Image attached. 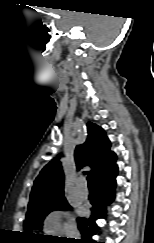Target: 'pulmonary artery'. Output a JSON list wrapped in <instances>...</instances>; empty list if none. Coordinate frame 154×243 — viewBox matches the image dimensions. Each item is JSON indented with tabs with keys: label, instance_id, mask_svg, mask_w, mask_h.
I'll list each match as a JSON object with an SVG mask.
<instances>
[{
	"label": "pulmonary artery",
	"instance_id": "e3ab8cb5",
	"mask_svg": "<svg viewBox=\"0 0 154 243\" xmlns=\"http://www.w3.org/2000/svg\"><path fill=\"white\" fill-rule=\"evenodd\" d=\"M75 193L79 198L85 199L88 196V189L83 185H77Z\"/></svg>",
	"mask_w": 154,
	"mask_h": 243
}]
</instances>
